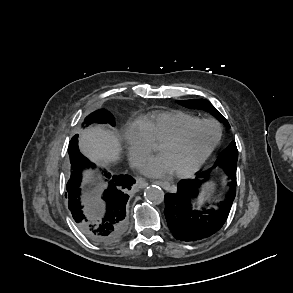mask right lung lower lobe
<instances>
[{"mask_svg":"<svg viewBox=\"0 0 293 293\" xmlns=\"http://www.w3.org/2000/svg\"><path fill=\"white\" fill-rule=\"evenodd\" d=\"M70 179L66 186V198L73 219L79 229L92 241L101 244L118 242L128 228L126 218V203L129 196L127 189L135 183L129 175L111 177L107 175L108 187L104 193V202L98 205L84 207L81 203L80 182L83 168L91 164L78 149V134L69 143Z\"/></svg>","mask_w":293,"mask_h":293,"instance_id":"right-lung-lower-lobe-1","label":"right lung lower lobe"}]
</instances>
